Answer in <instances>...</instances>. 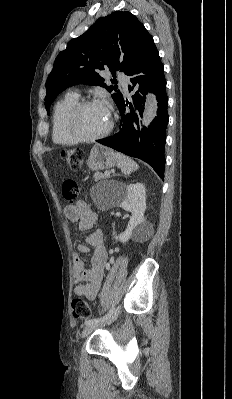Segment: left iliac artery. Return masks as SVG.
Instances as JSON below:
<instances>
[{
	"instance_id": "44dca946",
	"label": "left iliac artery",
	"mask_w": 232,
	"mask_h": 399,
	"mask_svg": "<svg viewBox=\"0 0 232 399\" xmlns=\"http://www.w3.org/2000/svg\"><path fill=\"white\" fill-rule=\"evenodd\" d=\"M114 311H115V305H113L112 308L109 310V312L107 314H105L104 316H102L101 319H107V318L111 317L113 315ZM97 321H98V318L88 319V320H85V325L90 326Z\"/></svg>"
}]
</instances>
